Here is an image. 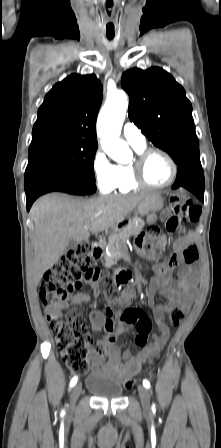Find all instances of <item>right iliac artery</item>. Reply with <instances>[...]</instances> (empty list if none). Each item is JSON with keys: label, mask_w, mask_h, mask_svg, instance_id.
Listing matches in <instances>:
<instances>
[{"label": "right iliac artery", "mask_w": 221, "mask_h": 448, "mask_svg": "<svg viewBox=\"0 0 221 448\" xmlns=\"http://www.w3.org/2000/svg\"><path fill=\"white\" fill-rule=\"evenodd\" d=\"M78 381V377L74 376L70 381V388H72Z\"/></svg>", "instance_id": "right-iliac-artery-1"}]
</instances>
